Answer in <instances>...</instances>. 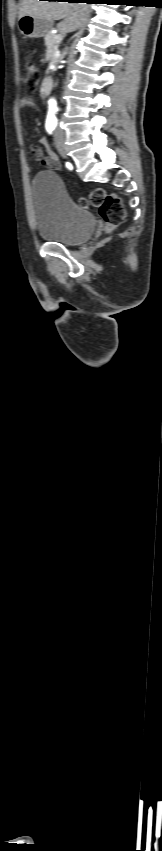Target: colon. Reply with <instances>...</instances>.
Instances as JSON below:
<instances>
[{"label":"colon","mask_w":162,"mask_h":851,"mask_svg":"<svg viewBox=\"0 0 162 851\" xmlns=\"http://www.w3.org/2000/svg\"><path fill=\"white\" fill-rule=\"evenodd\" d=\"M38 80L39 71L33 65L28 64L24 74L27 89L33 91ZM78 202L85 209L97 208L107 230L118 227L125 218V208L121 199L115 193H109L104 188H94L88 196L79 198Z\"/></svg>","instance_id":"5ec220e1"}]
</instances>
